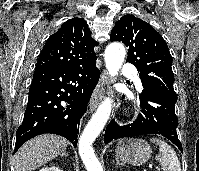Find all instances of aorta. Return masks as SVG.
Wrapping results in <instances>:
<instances>
[{
  "mask_svg": "<svg viewBox=\"0 0 199 171\" xmlns=\"http://www.w3.org/2000/svg\"><path fill=\"white\" fill-rule=\"evenodd\" d=\"M125 54V48L120 43H111L107 46L105 50V63L111 77H115L118 74L124 62ZM111 109L112 99L105 98L84 128L79 139V154L87 171H103L100 162L95 156L92 143L107 123Z\"/></svg>",
  "mask_w": 199,
  "mask_h": 171,
  "instance_id": "obj_1",
  "label": "aorta"
}]
</instances>
